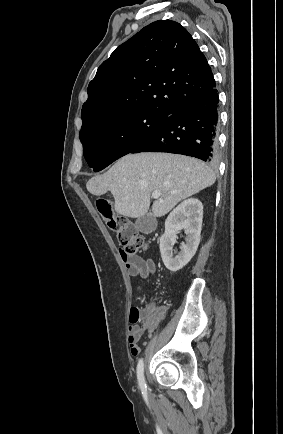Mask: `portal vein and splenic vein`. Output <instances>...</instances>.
<instances>
[{"label":"portal vein and splenic vein","mask_w":283,"mask_h":434,"mask_svg":"<svg viewBox=\"0 0 283 434\" xmlns=\"http://www.w3.org/2000/svg\"><path fill=\"white\" fill-rule=\"evenodd\" d=\"M161 195H162V194H161L160 191H154V192L152 193V197L155 198V199L160 198Z\"/></svg>","instance_id":"obj_1"}]
</instances>
